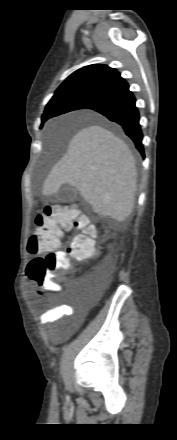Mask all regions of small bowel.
Instances as JSON below:
<instances>
[{"mask_svg":"<svg viewBox=\"0 0 177 440\" xmlns=\"http://www.w3.org/2000/svg\"><path fill=\"white\" fill-rule=\"evenodd\" d=\"M27 275H28V279L31 280L32 273L29 271L27 273ZM45 286L48 287L47 284H45ZM48 288H50V287H48ZM75 316H76V311L73 307H71L69 305H59V306L53 307V308L49 309L47 312H45L41 316L40 320H41L42 324H49V323L59 322L65 317H75ZM82 319H83V316H79L78 318H76L74 320V322L69 324L68 325V332L76 329L78 324L82 321Z\"/></svg>","mask_w":177,"mask_h":440,"instance_id":"1","label":"small bowel"}]
</instances>
